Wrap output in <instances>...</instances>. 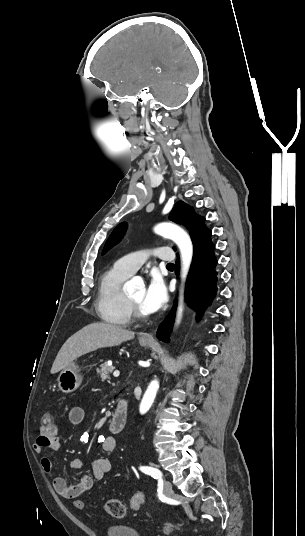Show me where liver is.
Masks as SVG:
<instances>
[{
    "instance_id": "1",
    "label": "liver",
    "mask_w": 305,
    "mask_h": 536,
    "mask_svg": "<svg viewBox=\"0 0 305 536\" xmlns=\"http://www.w3.org/2000/svg\"><path fill=\"white\" fill-rule=\"evenodd\" d=\"M134 334L135 332L123 330L121 326H114V324H100V322L89 324L63 344L53 362L51 374H57L60 370L67 368L76 358L94 352L98 348L120 346L122 342L133 340Z\"/></svg>"
}]
</instances>
